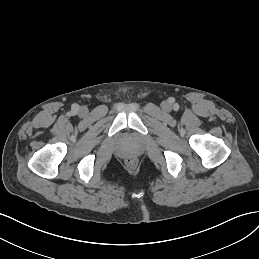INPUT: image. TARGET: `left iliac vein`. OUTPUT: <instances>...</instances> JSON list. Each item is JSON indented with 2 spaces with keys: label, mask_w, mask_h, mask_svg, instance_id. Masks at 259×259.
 I'll list each match as a JSON object with an SVG mask.
<instances>
[{
  "label": "left iliac vein",
  "mask_w": 259,
  "mask_h": 259,
  "mask_svg": "<svg viewBox=\"0 0 259 259\" xmlns=\"http://www.w3.org/2000/svg\"><path fill=\"white\" fill-rule=\"evenodd\" d=\"M163 107L165 108V109H170V104L168 103V102H165L164 104H163Z\"/></svg>",
  "instance_id": "left-iliac-vein-1"
}]
</instances>
